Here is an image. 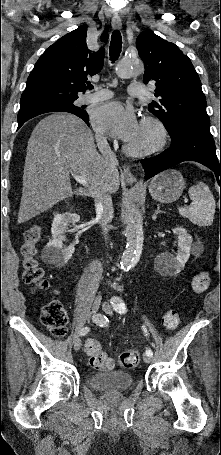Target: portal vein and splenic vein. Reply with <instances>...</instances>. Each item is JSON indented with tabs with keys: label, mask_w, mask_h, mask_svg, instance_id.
Listing matches in <instances>:
<instances>
[{
	"label": "portal vein and splenic vein",
	"mask_w": 221,
	"mask_h": 455,
	"mask_svg": "<svg viewBox=\"0 0 221 455\" xmlns=\"http://www.w3.org/2000/svg\"><path fill=\"white\" fill-rule=\"evenodd\" d=\"M72 175L78 183H80L81 185H83L85 187H88V182L86 181V179L84 177L76 175V174H72Z\"/></svg>",
	"instance_id": "obj_1"
}]
</instances>
